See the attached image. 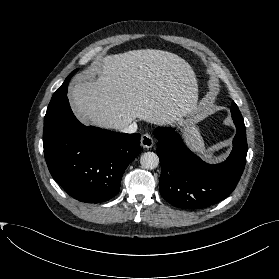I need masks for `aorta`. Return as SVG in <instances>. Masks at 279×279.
Returning a JSON list of instances; mask_svg holds the SVG:
<instances>
[{"label": "aorta", "instance_id": "aorta-1", "mask_svg": "<svg viewBox=\"0 0 279 279\" xmlns=\"http://www.w3.org/2000/svg\"><path fill=\"white\" fill-rule=\"evenodd\" d=\"M141 166L145 169H155L159 164V157L154 152H145L140 158Z\"/></svg>", "mask_w": 279, "mask_h": 279}]
</instances>
